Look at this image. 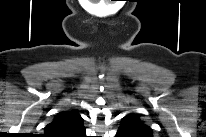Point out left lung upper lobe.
<instances>
[{"label": "left lung upper lobe", "instance_id": "obj_1", "mask_svg": "<svg viewBox=\"0 0 206 137\" xmlns=\"http://www.w3.org/2000/svg\"><path fill=\"white\" fill-rule=\"evenodd\" d=\"M119 130L131 132L136 137L152 136V129L140 119L137 113H131L122 118Z\"/></svg>", "mask_w": 206, "mask_h": 137}]
</instances>
